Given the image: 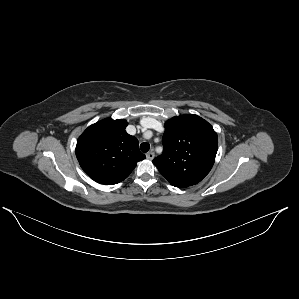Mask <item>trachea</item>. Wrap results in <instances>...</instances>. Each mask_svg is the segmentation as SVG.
<instances>
[{
	"instance_id": "trachea-1",
	"label": "trachea",
	"mask_w": 299,
	"mask_h": 299,
	"mask_svg": "<svg viewBox=\"0 0 299 299\" xmlns=\"http://www.w3.org/2000/svg\"><path fill=\"white\" fill-rule=\"evenodd\" d=\"M140 149H141V151H142L143 153H146V152L149 151V149H150V145H149L148 143H146V142H143V143H141V145H140Z\"/></svg>"
}]
</instances>
